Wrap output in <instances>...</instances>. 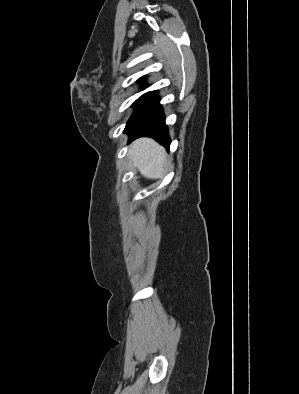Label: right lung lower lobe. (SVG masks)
<instances>
[{
    "label": "right lung lower lobe",
    "mask_w": 299,
    "mask_h": 394,
    "mask_svg": "<svg viewBox=\"0 0 299 394\" xmlns=\"http://www.w3.org/2000/svg\"><path fill=\"white\" fill-rule=\"evenodd\" d=\"M159 100L157 91H152L141 96L133 104L134 112L125 127V132L129 134V142L141 136H148L169 149L171 140Z\"/></svg>",
    "instance_id": "obj_1"
}]
</instances>
